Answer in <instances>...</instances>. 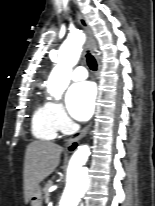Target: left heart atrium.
I'll use <instances>...</instances> for the list:
<instances>
[{
  "label": "left heart atrium",
  "mask_w": 155,
  "mask_h": 206,
  "mask_svg": "<svg viewBox=\"0 0 155 206\" xmlns=\"http://www.w3.org/2000/svg\"><path fill=\"white\" fill-rule=\"evenodd\" d=\"M96 89L91 82L73 84L66 96L67 108L77 120H87L94 109Z\"/></svg>",
  "instance_id": "39dd6f15"
}]
</instances>
